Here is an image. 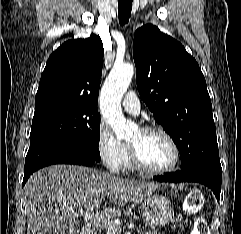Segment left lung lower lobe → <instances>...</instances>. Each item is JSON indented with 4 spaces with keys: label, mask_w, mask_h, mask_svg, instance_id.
<instances>
[{
    "label": "left lung lower lobe",
    "mask_w": 241,
    "mask_h": 234,
    "mask_svg": "<svg viewBox=\"0 0 241 234\" xmlns=\"http://www.w3.org/2000/svg\"><path fill=\"white\" fill-rule=\"evenodd\" d=\"M157 181L165 182H198L208 186L215 194L217 200L220 198L222 169L210 166H197L194 168L167 173L163 176H155Z\"/></svg>",
    "instance_id": "1"
}]
</instances>
